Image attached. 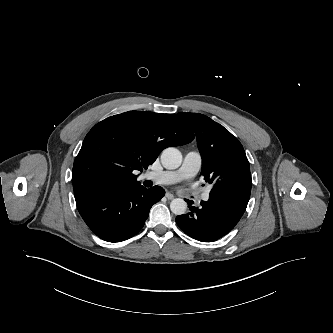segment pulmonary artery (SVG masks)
<instances>
[{"instance_id": "1", "label": "pulmonary artery", "mask_w": 333, "mask_h": 333, "mask_svg": "<svg viewBox=\"0 0 333 333\" xmlns=\"http://www.w3.org/2000/svg\"><path fill=\"white\" fill-rule=\"evenodd\" d=\"M202 158L196 151H189L185 154L182 165L177 170L146 172L142 175L143 179L152 180L157 184H174L176 182L194 177L201 168ZM209 190L201 194V199L209 200Z\"/></svg>"}]
</instances>
